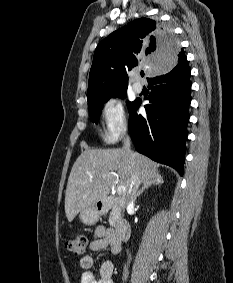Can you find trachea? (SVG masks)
Wrapping results in <instances>:
<instances>
[{
  "label": "trachea",
  "mask_w": 233,
  "mask_h": 283,
  "mask_svg": "<svg viewBox=\"0 0 233 283\" xmlns=\"http://www.w3.org/2000/svg\"><path fill=\"white\" fill-rule=\"evenodd\" d=\"M140 74H141L142 77L144 76V72H141Z\"/></svg>",
  "instance_id": "1"
}]
</instances>
